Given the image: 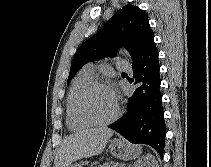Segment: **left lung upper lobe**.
Returning <instances> with one entry per match:
<instances>
[{"label":"left lung upper lobe","instance_id":"left-lung-upper-lobe-1","mask_svg":"<svg viewBox=\"0 0 211 167\" xmlns=\"http://www.w3.org/2000/svg\"><path fill=\"white\" fill-rule=\"evenodd\" d=\"M120 46L125 47L131 54L133 67L156 49L148 15L137 6L125 5L99 32L78 48L72 60L67 83L85 63L105 56H114Z\"/></svg>","mask_w":211,"mask_h":167}]
</instances>
